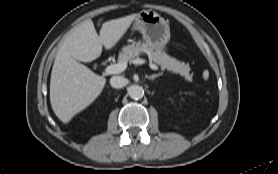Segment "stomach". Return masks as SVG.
Listing matches in <instances>:
<instances>
[{
    "mask_svg": "<svg viewBox=\"0 0 278 174\" xmlns=\"http://www.w3.org/2000/svg\"><path fill=\"white\" fill-rule=\"evenodd\" d=\"M134 29L143 35L144 42L156 50L165 49L170 40L168 22L155 11H141L134 20Z\"/></svg>",
    "mask_w": 278,
    "mask_h": 174,
    "instance_id": "obj_1",
    "label": "stomach"
}]
</instances>
